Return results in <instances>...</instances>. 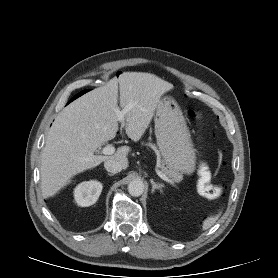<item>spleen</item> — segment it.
I'll use <instances>...</instances> for the list:
<instances>
[{
	"label": "spleen",
	"instance_id": "obj_1",
	"mask_svg": "<svg viewBox=\"0 0 278 278\" xmlns=\"http://www.w3.org/2000/svg\"><path fill=\"white\" fill-rule=\"evenodd\" d=\"M219 215L214 216V217H210L207 220H205L204 223H203V226H202L203 230L209 229L216 222V220L219 218Z\"/></svg>",
	"mask_w": 278,
	"mask_h": 278
}]
</instances>
